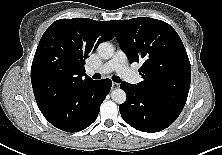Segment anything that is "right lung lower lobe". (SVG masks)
I'll return each mask as SVG.
<instances>
[{"label": "right lung lower lobe", "mask_w": 222, "mask_h": 155, "mask_svg": "<svg viewBox=\"0 0 222 155\" xmlns=\"http://www.w3.org/2000/svg\"><path fill=\"white\" fill-rule=\"evenodd\" d=\"M111 86L109 79H102L84 82L66 90L44 85L33 91L41 113L52 125L63 131L78 132L96 120L100 105Z\"/></svg>", "instance_id": "1"}]
</instances>
